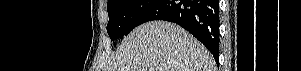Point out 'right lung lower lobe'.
Returning a JSON list of instances; mask_svg holds the SVG:
<instances>
[{"instance_id": "obj_1", "label": "right lung lower lobe", "mask_w": 301, "mask_h": 71, "mask_svg": "<svg viewBox=\"0 0 301 71\" xmlns=\"http://www.w3.org/2000/svg\"><path fill=\"white\" fill-rule=\"evenodd\" d=\"M152 20L174 22L202 42L219 63V1L157 0L140 18L139 25Z\"/></svg>"}]
</instances>
